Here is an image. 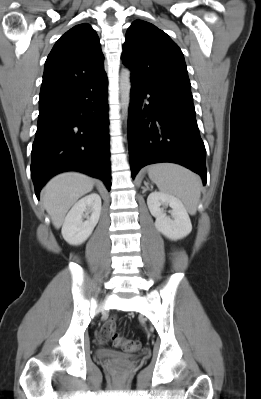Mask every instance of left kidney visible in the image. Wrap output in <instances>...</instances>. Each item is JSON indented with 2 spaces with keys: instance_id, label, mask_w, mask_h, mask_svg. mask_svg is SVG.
<instances>
[{
  "instance_id": "left-kidney-1",
  "label": "left kidney",
  "mask_w": 261,
  "mask_h": 399,
  "mask_svg": "<svg viewBox=\"0 0 261 399\" xmlns=\"http://www.w3.org/2000/svg\"><path fill=\"white\" fill-rule=\"evenodd\" d=\"M147 205L152 216L156 218L155 227L171 240L185 238L192 231V224L183 203L176 197L161 192H152L147 198ZM170 207L171 218L165 213Z\"/></svg>"
}]
</instances>
